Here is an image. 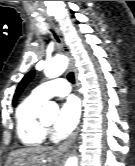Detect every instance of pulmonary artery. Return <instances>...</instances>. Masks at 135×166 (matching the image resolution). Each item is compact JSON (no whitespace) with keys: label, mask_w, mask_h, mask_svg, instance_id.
Here are the masks:
<instances>
[{"label":"pulmonary artery","mask_w":135,"mask_h":166,"mask_svg":"<svg viewBox=\"0 0 135 166\" xmlns=\"http://www.w3.org/2000/svg\"><path fill=\"white\" fill-rule=\"evenodd\" d=\"M70 90V85L66 80L57 79L37 86L32 94L45 101L54 96H66L70 93Z\"/></svg>","instance_id":"obj_1"}]
</instances>
